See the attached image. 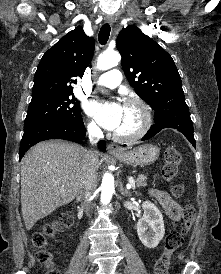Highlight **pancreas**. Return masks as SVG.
<instances>
[{"label":"pancreas","mask_w":221,"mask_h":274,"mask_svg":"<svg viewBox=\"0 0 221 274\" xmlns=\"http://www.w3.org/2000/svg\"><path fill=\"white\" fill-rule=\"evenodd\" d=\"M146 180H147V176L146 175H143V174L139 175L136 178V185H137V187H145V186H147Z\"/></svg>","instance_id":"cf45deb5"}]
</instances>
